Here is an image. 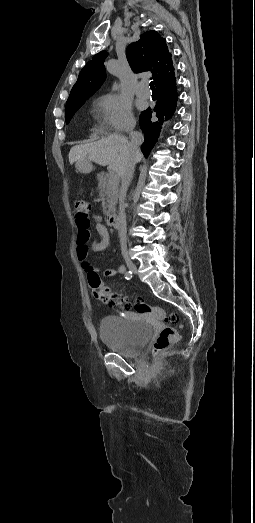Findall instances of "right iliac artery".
Listing matches in <instances>:
<instances>
[{"mask_svg": "<svg viewBox=\"0 0 255 523\" xmlns=\"http://www.w3.org/2000/svg\"><path fill=\"white\" fill-rule=\"evenodd\" d=\"M125 278H126L127 280L131 279V278H132V272H131V271L126 272V273H125Z\"/></svg>", "mask_w": 255, "mask_h": 523, "instance_id": "right-iliac-artery-1", "label": "right iliac artery"}]
</instances>
